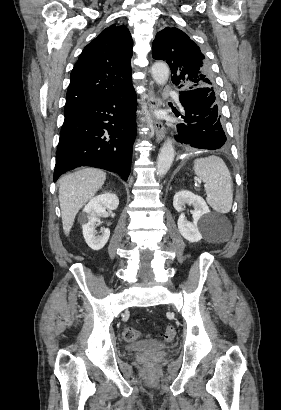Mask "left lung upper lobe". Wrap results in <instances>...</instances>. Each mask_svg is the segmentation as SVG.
<instances>
[{"mask_svg":"<svg viewBox=\"0 0 281 410\" xmlns=\"http://www.w3.org/2000/svg\"><path fill=\"white\" fill-rule=\"evenodd\" d=\"M154 59L164 60L175 85L184 90L214 87L211 68L200 48L178 28L158 32L152 46Z\"/></svg>","mask_w":281,"mask_h":410,"instance_id":"left-lung-upper-lobe-1","label":"left lung upper lobe"}]
</instances>
